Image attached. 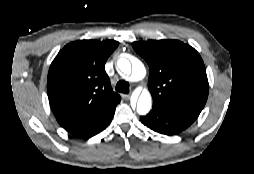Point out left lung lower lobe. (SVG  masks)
Wrapping results in <instances>:
<instances>
[{
	"label": "left lung lower lobe",
	"instance_id": "obj_1",
	"mask_svg": "<svg viewBox=\"0 0 254 174\" xmlns=\"http://www.w3.org/2000/svg\"><path fill=\"white\" fill-rule=\"evenodd\" d=\"M193 114L170 109L161 104H153L152 110L146 116H141V122L148 128L166 135H175L188 128L197 118Z\"/></svg>",
	"mask_w": 254,
	"mask_h": 174
}]
</instances>
